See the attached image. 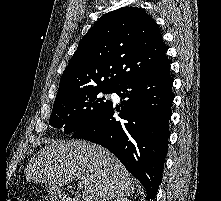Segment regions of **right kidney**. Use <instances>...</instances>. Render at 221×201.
Listing matches in <instances>:
<instances>
[{"mask_svg":"<svg viewBox=\"0 0 221 201\" xmlns=\"http://www.w3.org/2000/svg\"><path fill=\"white\" fill-rule=\"evenodd\" d=\"M114 201H129L126 197H119Z\"/></svg>","mask_w":221,"mask_h":201,"instance_id":"1","label":"right kidney"}]
</instances>
